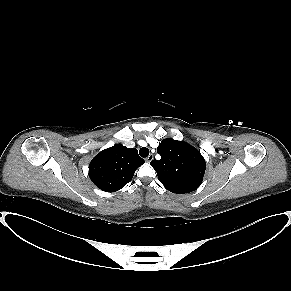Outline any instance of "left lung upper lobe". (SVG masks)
<instances>
[{
	"instance_id": "1",
	"label": "left lung upper lobe",
	"mask_w": 291,
	"mask_h": 291,
	"mask_svg": "<svg viewBox=\"0 0 291 291\" xmlns=\"http://www.w3.org/2000/svg\"><path fill=\"white\" fill-rule=\"evenodd\" d=\"M157 152L161 159L150 164L167 190L185 194L201 185L206 162L196 148L184 141L167 138L159 144Z\"/></svg>"
}]
</instances>
